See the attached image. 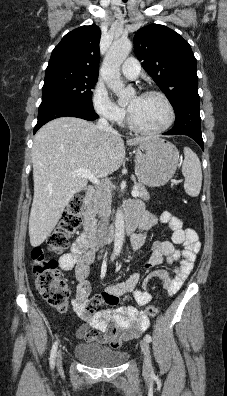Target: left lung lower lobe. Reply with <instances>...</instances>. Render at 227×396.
<instances>
[{
    "instance_id": "obj_1",
    "label": "left lung lower lobe",
    "mask_w": 227,
    "mask_h": 396,
    "mask_svg": "<svg viewBox=\"0 0 227 396\" xmlns=\"http://www.w3.org/2000/svg\"><path fill=\"white\" fill-rule=\"evenodd\" d=\"M199 110V100L184 101L179 107L175 109L176 120L174 127L163 134L187 135L194 139L204 150Z\"/></svg>"
}]
</instances>
